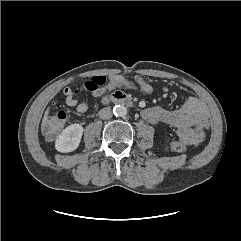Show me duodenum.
<instances>
[{"label": "duodenum", "instance_id": "duodenum-1", "mask_svg": "<svg viewBox=\"0 0 241 241\" xmlns=\"http://www.w3.org/2000/svg\"><path fill=\"white\" fill-rule=\"evenodd\" d=\"M103 104H127L132 105L131 99L122 92H116L113 96H106L102 99Z\"/></svg>", "mask_w": 241, "mask_h": 241}]
</instances>
